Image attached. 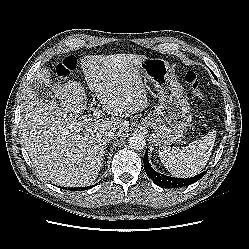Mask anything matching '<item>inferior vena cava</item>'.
<instances>
[{
    "label": "inferior vena cava",
    "instance_id": "inferior-vena-cava-1",
    "mask_svg": "<svg viewBox=\"0 0 249 249\" xmlns=\"http://www.w3.org/2000/svg\"><path fill=\"white\" fill-rule=\"evenodd\" d=\"M118 135V131L116 129H110L105 132V137L109 140L114 139Z\"/></svg>",
    "mask_w": 249,
    "mask_h": 249
}]
</instances>
